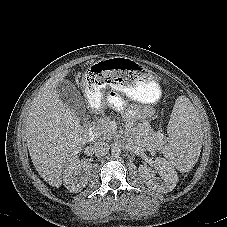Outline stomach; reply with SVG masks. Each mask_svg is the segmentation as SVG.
Here are the masks:
<instances>
[{
    "label": "stomach",
    "instance_id": "0dacf381",
    "mask_svg": "<svg viewBox=\"0 0 227 227\" xmlns=\"http://www.w3.org/2000/svg\"><path fill=\"white\" fill-rule=\"evenodd\" d=\"M88 102L92 109L100 106L99 91L103 87L123 89L132 100L144 103L156 101L160 87L152 79L150 70L128 57L100 58L91 65L84 79Z\"/></svg>",
    "mask_w": 227,
    "mask_h": 227
}]
</instances>
